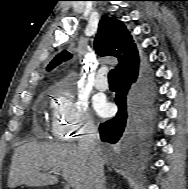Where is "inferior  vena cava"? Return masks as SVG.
I'll return each mask as SVG.
<instances>
[{
  "label": "inferior vena cava",
  "instance_id": "1",
  "mask_svg": "<svg viewBox=\"0 0 188 189\" xmlns=\"http://www.w3.org/2000/svg\"><path fill=\"white\" fill-rule=\"evenodd\" d=\"M81 133L78 149L88 158L90 163L86 189H102L104 169L97 127L93 122H87Z\"/></svg>",
  "mask_w": 188,
  "mask_h": 189
}]
</instances>
